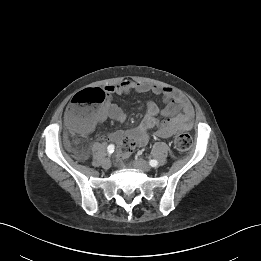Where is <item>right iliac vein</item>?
Segmentation results:
<instances>
[{
	"instance_id": "1",
	"label": "right iliac vein",
	"mask_w": 261,
	"mask_h": 261,
	"mask_svg": "<svg viewBox=\"0 0 261 261\" xmlns=\"http://www.w3.org/2000/svg\"><path fill=\"white\" fill-rule=\"evenodd\" d=\"M102 167H103L104 169H109V168L111 167V161H110V159H105V160H103V162H102Z\"/></svg>"
}]
</instances>
